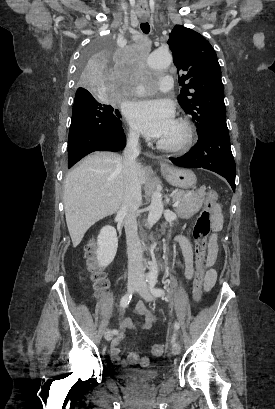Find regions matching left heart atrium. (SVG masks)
<instances>
[{"mask_svg":"<svg viewBox=\"0 0 275 409\" xmlns=\"http://www.w3.org/2000/svg\"><path fill=\"white\" fill-rule=\"evenodd\" d=\"M126 117L147 137L158 139L174 124L173 108L160 100L130 102Z\"/></svg>","mask_w":275,"mask_h":409,"instance_id":"39dd6f15","label":"left heart atrium"}]
</instances>
